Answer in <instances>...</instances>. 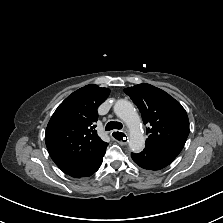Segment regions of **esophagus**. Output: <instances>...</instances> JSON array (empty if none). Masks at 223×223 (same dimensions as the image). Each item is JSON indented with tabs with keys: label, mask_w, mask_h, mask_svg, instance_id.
I'll return each mask as SVG.
<instances>
[{
	"label": "esophagus",
	"mask_w": 223,
	"mask_h": 223,
	"mask_svg": "<svg viewBox=\"0 0 223 223\" xmlns=\"http://www.w3.org/2000/svg\"><path fill=\"white\" fill-rule=\"evenodd\" d=\"M111 137L116 142L126 145L128 143V134L126 132H120L118 130H114L111 132Z\"/></svg>",
	"instance_id": "34e87169"
}]
</instances>
